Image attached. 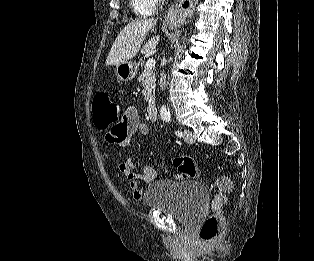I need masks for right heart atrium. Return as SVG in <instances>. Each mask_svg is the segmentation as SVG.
I'll use <instances>...</instances> for the list:
<instances>
[{
  "instance_id": "right-heart-atrium-1",
  "label": "right heart atrium",
  "mask_w": 314,
  "mask_h": 261,
  "mask_svg": "<svg viewBox=\"0 0 314 261\" xmlns=\"http://www.w3.org/2000/svg\"><path fill=\"white\" fill-rule=\"evenodd\" d=\"M153 5L157 7L163 0H151Z\"/></svg>"
}]
</instances>
